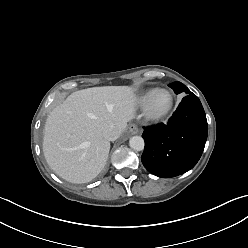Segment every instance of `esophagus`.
<instances>
[{
    "instance_id": "esophagus-1",
    "label": "esophagus",
    "mask_w": 248,
    "mask_h": 248,
    "mask_svg": "<svg viewBox=\"0 0 248 248\" xmlns=\"http://www.w3.org/2000/svg\"><path fill=\"white\" fill-rule=\"evenodd\" d=\"M129 132L131 133V134H138V132H139V129H138V127L135 125V124H131L130 126H129Z\"/></svg>"
}]
</instances>
